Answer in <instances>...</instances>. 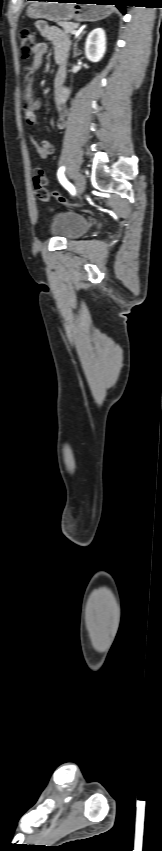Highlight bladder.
<instances>
[{
  "mask_svg": "<svg viewBox=\"0 0 162 851\" xmlns=\"http://www.w3.org/2000/svg\"><path fill=\"white\" fill-rule=\"evenodd\" d=\"M88 221L82 215L73 211H58L53 214L49 223L50 232L66 240L80 237L86 232Z\"/></svg>",
  "mask_w": 162,
  "mask_h": 851,
  "instance_id": "obj_1",
  "label": "bladder"
}]
</instances>
